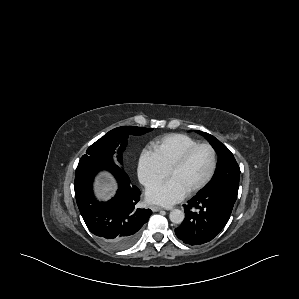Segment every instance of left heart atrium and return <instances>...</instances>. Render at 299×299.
Returning <instances> with one entry per match:
<instances>
[{"mask_svg":"<svg viewBox=\"0 0 299 299\" xmlns=\"http://www.w3.org/2000/svg\"><path fill=\"white\" fill-rule=\"evenodd\" d=\"M186 194L187 191L181 185L170 179L150 187L146 192V197L151 203L171 206L182 200Z\"/></svg>","mask_w":299,"mask_h":299,"instance_id":"obj_1","label":"left heart atrium"}]
</instances>
